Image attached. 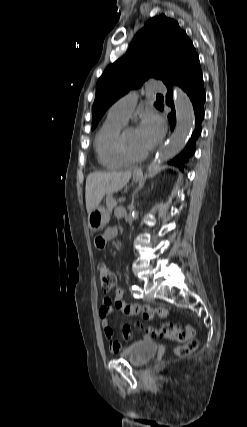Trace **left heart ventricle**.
Instances as JSON below:
<instances>
[{"label":"left heart ventricle","mask_w":247,"mask_h":427,"mask_svg":"<svg viewBox=\"0 0 247 427\" xmlns=\"http://www.w3.org/2000/svg\"><path fill=\"white\" fill-rule=\"evenodd\" d=\"M126 142L128 149L132 154L138 155L148 150L147 146L142 141L137 128H130L127 131Z\"/></svg>","instance_id":"b2bd125f"}]
</instances>
